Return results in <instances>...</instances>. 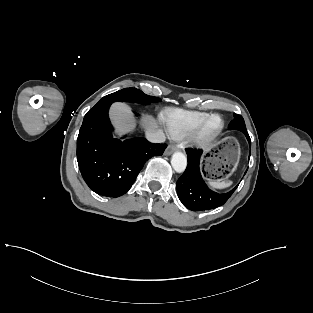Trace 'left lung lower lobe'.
<instances>
[{
  "instance_id": "0a47b994",
  "label": "left lung lower lobe",
  "mask_w": 313,
  "mask_h": 313,
  "mask_svg": "<svg viewBox=\"0 0 313 313\" xmlns=\"http://www.w3.org/2000/svg\"><path fill=\"white\" fill-rule=\"evenodd\" d=\"M249 145L251 140L247 132H243ZM188 165L183 175L178 179L177 194L180 201L192 211H203L223 205L233 194L237 186L223 194L216 193L208 188L202 179L199 163L202 152L187 149Z\"/></svg>"
}]
</instances>
